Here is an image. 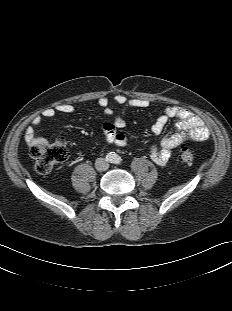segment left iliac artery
<instances>
[{
  "label": "left iliac artery",
  "mask_w": 232,
  "mask_h": 311,
  "mask_svg": "<svg viewBox=\"0 0 232 311\" xmlns=\"http://www.w3.org/2000/svg\"><path fill=\"white\" fill-rule=\"evenodd\" d=\"M121 161H122L121 157L117 156V157L115 158V163H116V164H120Z\"/></svg>",
  "instance_id": "left-iliac-artery-1"
}]
</instances>
